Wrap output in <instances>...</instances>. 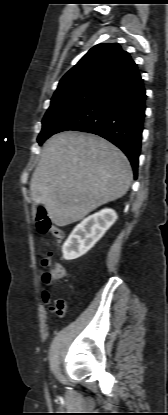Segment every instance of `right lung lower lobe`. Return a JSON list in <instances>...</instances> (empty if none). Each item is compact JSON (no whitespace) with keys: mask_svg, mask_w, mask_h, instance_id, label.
Returning <instances> with one entry per match:
<instances>
[{"mask_svg":"<svg viewBox=\"0 0 168 415\" xmlns=\"http://www.w3.org/2000/svg\"><path fill=\"white\" fill-rule=\"evenodd\" d=\"M145 88L137 69L108 86L56 133L73 130L99 135L128 157L135 177L145 117Z\"/></svg>","mask_w":168,"mask_h":415,"instance_id":"obj_1","label":"right lung lower lobe"}]
</instances>
